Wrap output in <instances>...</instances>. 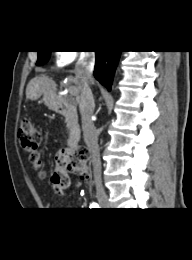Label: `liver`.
I'll return each instance as SVG.
<instances>
[{"label": "liver", "mask_w": 192, "mask_h": 260, "mask_svg": "<svg viewBox=\"0 0 192 260\" xmlns=\"http://www.w3.org/2000/svg\"><path fill=\"white\" fill-rule=\"evenodd\" d=\"M70 81L75 84L74 86H71L70 89L74 88V89H76L77 93H79L80 92V83H79L78 77L77 76L71 77ZM33 87H36V89H37L36 91H38L40 93V96L42 94H44L45 100L49 101L52 97L56 96L55 83L51 78L44 77V76H38L30 81V83L26 89V97L31 100H36L38 98H36V97L33 98L29 95V93Z\"/></svg>", "instance_id": "liver-1"}]
</instances>
